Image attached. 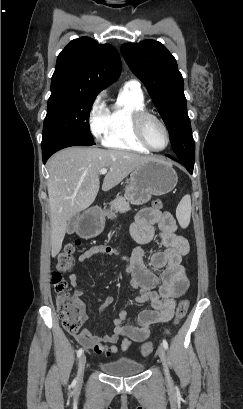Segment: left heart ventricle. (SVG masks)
<instances>
[{
  "mask_svg": "<svg viewBox=\"0 0 243 409\" xmlns=\"http://www.w3.org/2000/svg\"><path fill=\"white\" fill-rule=\"evenodd\" d=\"M144 132L149 143L156 149H161L166 145V134L161 125L154 119H147L144 123Z\"/></svg>",
  "mask_w": 243,
  "mask_h": 409,
  "instance_id": "1",
  "label": "left heart ventricle"
}]
</instances>
